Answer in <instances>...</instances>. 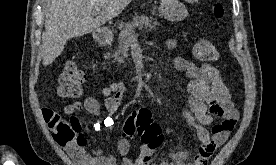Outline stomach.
Masks as SVG:
<instances>
[{
	"instance_id": "stomach-1",
	"label": "stomach",
	"mask_w": 276,
	"mask_h": 165,
	"mask_svg": "<svg viewBox=\"0 0 276 165\" xmlns=\"http://www.w3.org/2000/svg\"><path fill=\"white\" fill-rule=\"evenodd\" d=\"M159 13L165 19L178 22L184 20L188 11L183 3L179 0H160ZM94 36L99 40H105L112 36V32L108 29H98Z\"/></svg>"
}]
</instances>
